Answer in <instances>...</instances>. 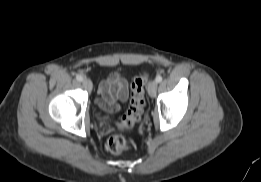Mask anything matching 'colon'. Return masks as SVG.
Wrapping results in <instances>:
<instances>
[{
  "label": "colon",
  "instance_id": "1",
  "mask_svg": "<svg viewBox=\"0 0 261 182\" xmlns=\"http://www.w3.org/2000/svg\"><path fill=\"white\" fill-rule=\"evenodd\" d=\"M147 80L148 75L145 72L133 79L129 108L119 123L120 128H131L141 120L144 112V94ZM129 146L128 140L120 135H113L107 140V149L113 154H122L129 149Z\"/></svg>",
  "mask_w": 261,
  "mask_h": 182
}]
</instances>
